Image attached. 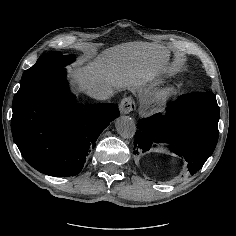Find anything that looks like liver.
Here are the masks:
<instances>
[{"mask_svg":"<svg viewBox=\"0 0 236 236\" xmlns=\"http://www.w3.org/2000/svg\"><path fill=\"white\" fill-rule=\"evenodd\" d=\"M162 57L159 45L126 43L103 52L99 58H90L78 64L77 79L87 92L95 85L107 83L112 88L138 85L156 71L155 59Z\"/></svg>","mask_w":236,"mask_h":236,"instance_id":"obj_1","label":"liver"}]
</instances>
